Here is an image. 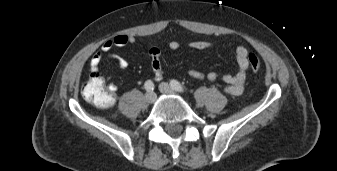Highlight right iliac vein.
Returning a JSON list of instances; mask_svg holds the SVG:
<instances>
[{
    "label": "right iliac vein",
    "instance_id": "obj_1",
    "mask_svg": "<svg viewBox=\"0 0 337 171\" xmlns=\"http://www.w3.org/2000/svg\"><path fill=\"white\" fill-rule=\"evenodd\" d=\"M156 98H157V96L154 92H149L145 95L146 102H148L150 104L154 103L156 101Z\"/></svg>",
    "mask_w": 337,
    "mask_h": 171
}]
</instances>
